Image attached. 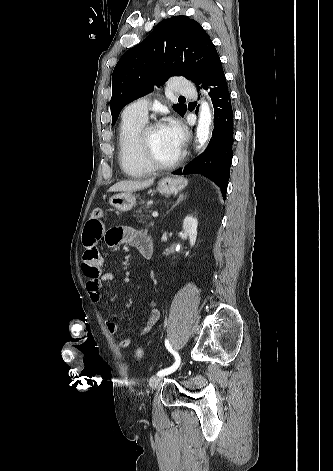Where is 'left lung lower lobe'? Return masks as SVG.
<instances>
[{
  "mask_svg": "<svg viewBox=\"0 0 333 471\" xmlns=\"http://www.w3.org/2000/svg\"><path fill=\"white\" fill-rule=\"evenodd\" d=\"M196 84L197 87L202 84L204 89L210 90L209 96L214 107L212 138L200 156L191 161L184 169H178L173 174L205 175L219 185L223 198H226L233 157L234 120L230 94L217 51L209 59Z\"/></svg>",
  "mask_w": 333,
  "mask_h": 471,
  "instance_id": "obj_1",
  "label": "left lung lower lobe"
}]
</instances>
